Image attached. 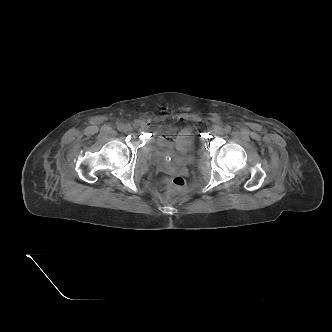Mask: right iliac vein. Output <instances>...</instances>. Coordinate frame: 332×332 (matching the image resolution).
<instances>
[{"label":"right iliac vein","instance_id":"right-iliac-vein-1","mask_svg":"<svg viewBox=\"0 0 332 332\" xmlns=\"http://www.w3.org/2000/svg\"><path fill=\"white\" fill-rule=\"evenodd\" d=\"M132 126L130 125V124H125L124 126H123V131L124 132H131L132 131Z\"/></svg>","mask_w":332,"mask_h":332}]
</instances>
